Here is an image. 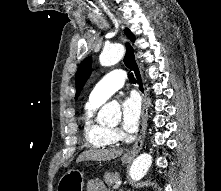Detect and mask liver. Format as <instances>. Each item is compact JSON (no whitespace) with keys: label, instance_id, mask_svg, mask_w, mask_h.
Instances as JSON below:
<instances>
[{"label":"liver","instance_id":"1","mask_svg":"<svg viewBox=\"0 0 221 191\" xmlns=\"http://www.w3.org/2000/svg\"><path fill=\"white\" fill-rule=\"evenodd\" d=\"M122 153V149L87 150L78 156L76 162L79 163L82 161H107L121 156Z\"/></svg>","mask_w":221,"mask_h":191}]
</instances>
